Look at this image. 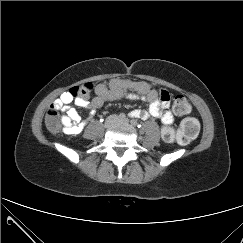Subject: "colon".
Listing matches in <instances>:
<instances>
[{
  "label": "colon",
  "mask_w": 243,
  "mask_h": 243,
  "mask_svg": "<svg viewBox=\"0 0 243 243\" xmlns=\"http://www.w3.org/2000/svg\"><path fill=\"white\" fill-rule=\"evenodd\" d=\"M107 84L100 83L96 88L105 89ZM95 88V89H96ZM94 86L92 83H85L80 86L73 87L69 92L74 97H88L92 93ZM162 99L165 95L162 94ZM191 111V105L187 98L183 95H176L173 102V112L178 116L187 115ZM58 107L53 103L46 114L45 122L47 128L52 133H59L61 129L60 119L58 116ZM200 125L195 118H186L182 121L180 129L175 131L171 127H164L161 131L162 139L167 143L177 142L179 144H188L195 139L199 133Z\"/></svg>",
  "instance_id": "1"
}]
</instances>
